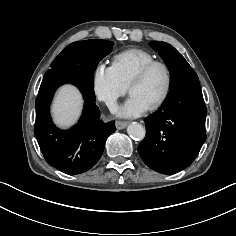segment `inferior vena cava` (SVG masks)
Segmentation results:
<instances>
[{"label": "inferior vena cava", "instance_id": "602c4592", "mask_svg": "<svg viewBox=\"0 0 236 236\" xmlns=\"http://www.w3.org/2000/svg\"><path fill=\"white\" fill-rule=\"evenodd\" d=\"M107 106H108L110 112H112V113H114L118 110V104L114 101L107 103Z\"/></svg>", "mask_w": 236, "mask_h": 236}]
</instances>
